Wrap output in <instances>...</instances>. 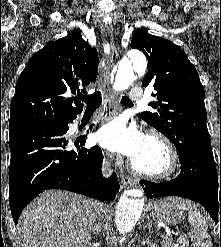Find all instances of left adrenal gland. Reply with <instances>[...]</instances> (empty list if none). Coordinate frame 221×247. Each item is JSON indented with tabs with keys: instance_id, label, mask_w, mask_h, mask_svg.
Here are the masks:
<instances>
[{
	"instance_id": "obj_1",
	"label": "left adrenal gland",
	"mask_w": 221,
	"mask_h": 247,
	"mask_svg": "<svg viewBox=\"0 0 221 247\" xmlns=\"http://www.w3.org/2000/svg\"><path fill=\"white\" fill-rule=\"evenodd\" d=\"M144 228H148L149 230V234L152 235V222L149 221L145 226Z\"/></svg>"
}]
</instances>
